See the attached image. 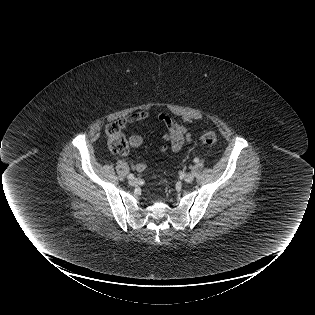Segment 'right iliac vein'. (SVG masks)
<instances>
[{"label": "right iliac vein", "instance_id": "1", "mask_svg": "<svg viewBox=\"0 0 315 315\" xmlns=\"http://www.w3.org/2000/svg\"><path fill=\"white\" fill-rule=\"evenodd\" d=\"M137 184H138V180H137V179L133 178V179H130V180H129V185L135 186V185H137Z\"/></svg>", "mask_w": 315, "mask_h": 315}]
</instances>
